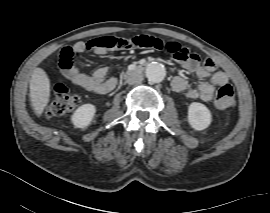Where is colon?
I'll return each instance as SVG.
<instances>
[{
    "instance_id": "colon-1",
    "label": "colon",
    "mask_w": 270,
    "mask_h": 213,
    "mask_svg": "<svg viewBox=\"0 0 270 213\" xmlns=\"http://www.w3.org/2000/svg\"><path fill=\"white\" fill-rule=\"evenodd\" d=\"M128 44L131 47H140L151 50H160L164 46L159 38L150 35H138L130 38ZM172 57L175 61L181 62L186 57L187 47L182 44L172 45ZM194 61L200 62L201 56L197 53L191 54ZM60 67L64 70L72 68V62L70 60L60 61ZM235 92L231 85L226 84L219 88L214 98V105L219 109H227L234 103ZM78 104V96L71 89L65 85H57L53 91V98L45 110V115L48 117L62 115L72 112Z\"/></svg>"
}]
</instances>
